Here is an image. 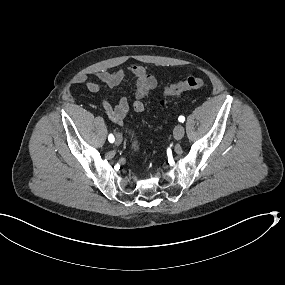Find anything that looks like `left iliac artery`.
I'll return each mask as SVG.
<instances>
[{
	"instance_id": "44dca946",
	"label": "left iliac artery",
	"mask_w": 285,
	"mask_h": 285,
	"mask_svg": "<svg viewBox=\"0 0 285 285\" xmlns=\"http://www.w3.org/2000/svg\"><path fill=\"white\" fill-rule=\"evenodd\" d=\"M178 120H179V122L183 123L185 121V117L184 116H179Z\"/></svg>"
}]
</instances>
